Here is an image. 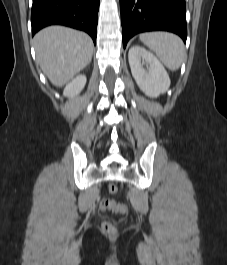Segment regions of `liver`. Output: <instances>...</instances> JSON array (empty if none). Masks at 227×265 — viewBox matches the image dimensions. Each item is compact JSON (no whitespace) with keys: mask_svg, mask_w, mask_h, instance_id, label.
Here are the masks:
<instances>
[{"mask_svg":"<svg viewBox=\"0 0 227 265\" xmlns=\"http://www.w3.org/2000/svg\"><path fill=\"white\" fill-rule=\"evenodd\" d=\"M37 61L50 82L61 87L91 61L93 42L89 35L63 26H50L34 37Z\"/></svg>","mask_w":227,"mask_h":265,"instance_id":"1","label":"liver"}]
</instances>
